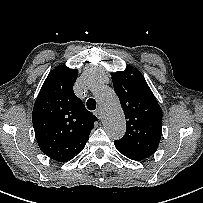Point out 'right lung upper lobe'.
<instances>
[{"label":"right lung upper lobe","instance_id":"1","mask_svg":"<svg viewBox=\"0 0 203 203\" xmlns=\"http://www.w3.org/2000/svg\"><path fill=\"white\" fill-rule=\"evenodd\" d=\"M78 70L53 69L35 101L32 122L38 145L51 159L66 162L88 141L97 118L74 94Z\"/></svg>","mask_w":203,"mask_h":203}]
</instances>
